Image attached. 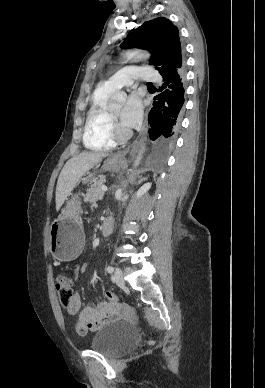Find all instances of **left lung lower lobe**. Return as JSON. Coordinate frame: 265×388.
<instances>
[{"instance_id":"left-lung-lower-lobe-1","label":"left lung lower lobe","mask_w":265,"mask_h":388,"mask_svg":"<svg viewBox=\"0 0 265 388\" xmlns=\"http://www.w3.org/2000/svg\"><path fill=\"white\" fill-rule=\"evenodd\" d=\"M162 78L163 84L158 88L149 113L153 141L149 161L154 167L164 164L180 128L185 103V66L164 73Z\"/></svg>"}]
</instances>
